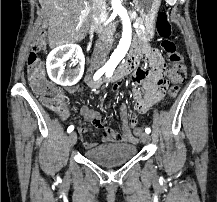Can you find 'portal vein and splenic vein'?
Masks as SVG:
<instances>
[{"instance_id": "obj_1", "label": "portal vein and splenic vein", "mask_w": 217, "mask_h": 202, "mask_svg": "<svg viewBox=\"0 0 217 202\" xmlns=\"http://www.w3.org/2000/svg\"><path fill=\"white\" fill-rule=\"evenodd\" d=\"M134 28H138V26H134Z\"/></svg>"}]
</instances>
